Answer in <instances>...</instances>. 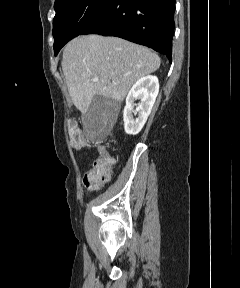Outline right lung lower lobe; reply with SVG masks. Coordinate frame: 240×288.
<instances>
[{"label": "right lung lower lobe", "instance_id": "98d812e1", "mask_svg": "<svg viewBox=\"0 0 240 288\" xmlns=\"http://www.w3.org/2000/svg\"><path fill=\"white\" fill-rule=\"evenodd\" d=\"M175 0H112L80 33L121 37L171 62Z\"/></svg>", "mask_w": 240, "mask_h": 288}]
</instances>
